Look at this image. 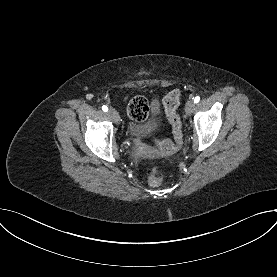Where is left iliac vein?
<instances>
[{"label": "left iliac vein", "instance_id": "1", "mask_svg": "<svg viewBox=\"0 0 277 277\" xmlns=\"http://www.w3.org/2000/svg\"><path fill=\"white\" fill-rule=\"evenodd\" d=\"M195 104L192 99H189L185 105V112L187 115H190L194 110Z\"/></svg>", "mask_w": 277, "mask_h": 277}]
</instances>
